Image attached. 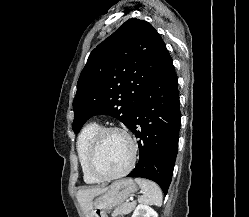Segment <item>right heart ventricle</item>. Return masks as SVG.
Segmentation results:
<instances>
[{
    "instance_id": "1",
    "label": "right heart ventricle",
    "mask_w": 249,
    "mask_h": 217,
    "mask_svg": "<svg viewBox=\"0 0 249 217\" xmlns=\"http://www.w3.org/2000/svg\"><path fill=\"white\" fill-rule=\"evenodd\" d=\"M100 129L101 127L98 123L91 122L82 129L77 140V154L79 165L83 175V179L88 184H96L101 182L90 173L87 165V156L91 141Z\"/></svg>"
}]
</instances>
